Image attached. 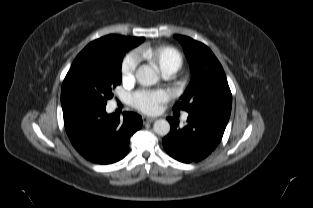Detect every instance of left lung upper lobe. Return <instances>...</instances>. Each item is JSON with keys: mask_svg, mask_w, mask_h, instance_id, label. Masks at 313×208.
<instances>
[{"mask_svg": "<svg viewBox=\"0 0 313 208\" xmlns=\"http://www.w3.org/2000/svg\"><path fill=\"white\" fill-rule=\"evenodd\" d=\"M183 46L189 61L192 79L173 110L189 114L210 113L230 117L232 95L224 70L212 51L189 37L174 36Z\"/></svg>", "mask_w": 313, "mask_h": 208, "instance_id": "5c2ea615", "label": "left lung upper lobe"}]
</instances>
